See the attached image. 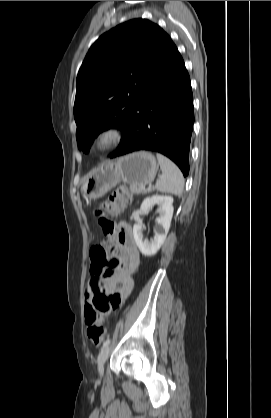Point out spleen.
Listing matches in <instances>:
<instances>
[{
  "instance_id": "obj_1",
  "label": "spleen",
  "mask_w": 271,
  "mask_h": 418,
  "mask_svg": "<svg viewBox=\"0 0 271 418\" xmlns=\"http://www.w3.org/2000/svg\"><path fill=\"white\" fill-rule=\"evenodd\" d=\"M157 159L163 175L156 182V190L163 193L181 196L185 183L182 172L176 164L162 154H157Z\"/></svg>"
}]
</instances>
